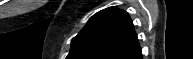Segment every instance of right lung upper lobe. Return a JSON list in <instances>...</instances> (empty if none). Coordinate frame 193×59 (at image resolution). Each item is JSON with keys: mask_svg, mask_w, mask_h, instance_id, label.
<instances>
[{"mask_svg": "<svg viewBox=\"0 0 193 59\" xmlns=\"http://www.w3.org/2000/svg\"><path fill=\"white\" fill-rule=\"evenodd\" d=\"M139 50L128 13L110 7L92 16L72 39L66 59H128Z\"/></svg>", "mask_w": 193, "mask_h": 59, "instance_id": "right-lung-upper-lobe-1", "label": "right lung upper lobe"}]
</instances>
